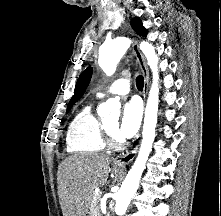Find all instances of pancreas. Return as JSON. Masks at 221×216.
<instances>
[{
	"mask_svg": "<svg viewBox=\"0 0 221 216\" xmlns=\"http://www.w3.org/2000/svg\"><path fill=\"white\" fill-rule=\"evenodd\" d=\"M101 195H93L90 205V216H101L100 210H99V201H100Z\"/></svg>",
	"mask_w": 221,
	"mask_h": 216,
	"instance_id": "1",
	"label": "pancreas"
}]
</instances>
